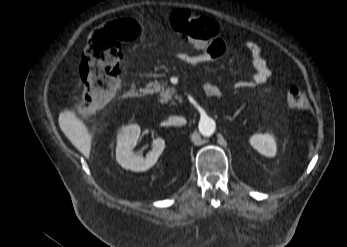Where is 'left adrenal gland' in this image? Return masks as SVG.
Here are the masks:
<instances>
[{
    "label": "left adrenal gland",
    "instance_id": "a2214340",
    "mask_svg": "<svg viewBox=\"0 0 347 247\" xmlns=\"http://www.w3.org/2000/svg\"><path fill=\"white\" fill-rule=\"evenodd\" d=\"M237 115H238V112H236L232 118H229V120L233 121Z\"/></svg>",
    "mask_w": 347,
    "mask_h": 247
}]
</instances>
